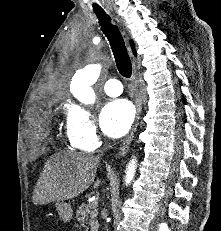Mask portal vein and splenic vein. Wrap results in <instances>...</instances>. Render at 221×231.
Masks as SVG:
<instances>
[{
	"instance_id": "portal-vein-and-splenic-vein-1",
	"label": "portal vein and splenic vein",
	"mask_w": 221,
	"mask_h": 231,
	"mask_svg": "<svg viewBox=\"0 0 221 231\" xmlns=\"http://www.w3.org/2000/svg\"><path fill=\"white\" fill-rule=\"evenodd\" d=\"M89 206L90 207H96L97 206V202L96 201L91 202V203H89Z\"/></svg>"
}]
</instances>
